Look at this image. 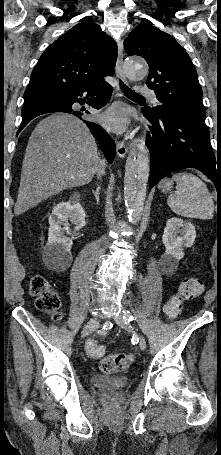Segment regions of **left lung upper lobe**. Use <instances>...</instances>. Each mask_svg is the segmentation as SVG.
Masks as SVG:
<instances>
[{"mask_svg": "<svg viewBox=\"0 0 221 455\" xmlns=\"http://www.w3.org/2000/svg\"><path fill=\"white\" fill-rule=\"evenodd\" d=\"M129 55L142 56L150 70L147 86L161 105L146 108L154 115L177 114L205 121L202 89L187 52L169 34L148 25H138L124 41Z\"/></svg>", "mask_w": 221, "mask_h": 455, "instance_id": "left-lung-upper-lobe-1", "label": "left lung upper lobe"}]
</instances>
